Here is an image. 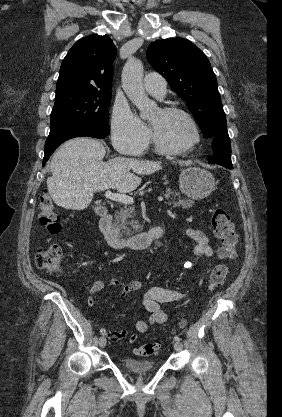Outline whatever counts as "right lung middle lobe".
Listing matches in <instances>:
<instances>
[{"mask_svg":"<svg viewBox=\"0 0 282 417\" xmlns=\"http://www.w3.org/2000/svg\"><path fill=\"white\" fill-rule=\"evenodd\" d=\"M110 91L70 90L58 92L51 113L50 130L81 123L109 134Z\"/></svg>","mask_w":282,"mask_h":417,"instance_id":"1","label":"right lung middle lobe"}]
</instances>
